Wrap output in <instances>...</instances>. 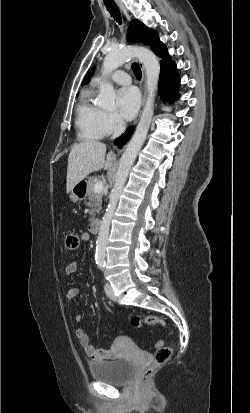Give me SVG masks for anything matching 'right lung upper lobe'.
Masks as SVG:
<instances>
[{
  "label": "right lung upper lobe",
  "instance_id": "right-lung-upper-lobe-1",
  "mask_svg": "<svg viewBox=\"0 0 250 413\" xmlns=\"http://www.w3.org/2000/svg\"><path fill=\"white\" fill-rule=\"evenodd\" d=\"M95 68L93 67L92 69H90L83 81V84L87 83L90 79V77L93 75Z\"/></svg>",
  "mask_w": 250,
  "mask_h": 413
}]
</instances>
